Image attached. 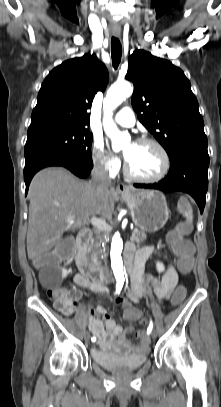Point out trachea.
Here are the masks:
<instances>
[{"mask_svg":"<svg viewBox=\"0 0 221 407\" xmlns=\"http://www.w3.org/2000/svg\"><path fill=\"white\" fill-rule=\"evenodd\" d=\"M111 56L114 69H117L122 56V46L119 39L112 37L111 39Z\"/></svg>","mask_w":221,"mask_h":407,"instance_id":"1","label":"trachea"}]
</instances>
